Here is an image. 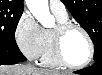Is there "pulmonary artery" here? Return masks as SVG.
Returning <instances> with one entry per match:
<instances>
[{
	"instance_id": "pulmonary-artery-1",
	"label": "pulmonary artery",
	"mask_w": 102,
	"mask_h": 75,
	"mask_svg": "<svg viewBox=\"0 0 102 75\" xmlns=\"http://www.w3.org/2000/svg\"><path fill=\"white\" fill-rule=\"evenodd\" d=\"M49 8L53 13H57L60 15H67L66 7L62 1H49Z\"/></svg>"
}]
</instances>
